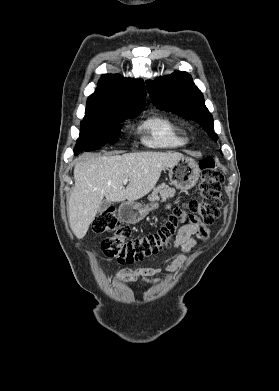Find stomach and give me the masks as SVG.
<instances>
[{"instance_id": "obj_1", "label": "stomach", "mask_w": 279, "mask_h": 391, "mask_svg": "<svg viewBox=\"0 0 279 391\" xmlns=\"http://www.w3.org/2000/svg\"><path fill=\"white\" fill-rule=\"evenodd\" d=\"M169 178L171 183L180 190H188L194 187L200 176V168L197 162L189 157H183L169 167ZM158 204L143 205L135 202H125L119 207L120 218L129 224H136Z\"/></svg>"}]
</instances>
